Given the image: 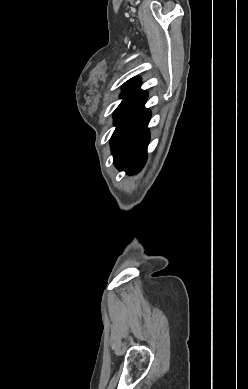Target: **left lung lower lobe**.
Listing matches in <instances>:
<instances>
[{"label":"left lung lower lobe","mask_w":248,"mask_h":389,"mask_svg":"<svg viewBox=\"0 0 248 389\" xmlns=\"http://www.w3.org/2000/svg\"><path fill=\"white\" fill-rule=\"evenodd\" d=\"M123 100L114 112L116 129L110 144L119 170L135 174L143 167L149 143L150 110L145 108L147 92L136 79L121 94Z\"/></svg>","instance_id":"obj_1"}]
</instances>
